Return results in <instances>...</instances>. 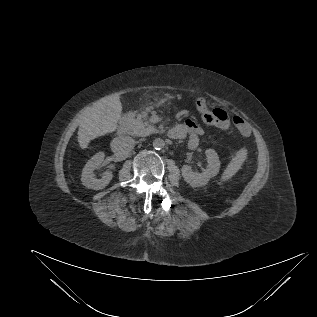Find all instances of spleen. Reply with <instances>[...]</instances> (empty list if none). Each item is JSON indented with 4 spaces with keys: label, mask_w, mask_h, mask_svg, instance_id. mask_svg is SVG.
<instances>
[{
    "label": "spleen",
    "mask_w": 317,
    "mask_h": 317,
    "mask_svg": "<svg viewBox=\"0 0 317 317\" xmlns=\"http://www.w3.org/2000/svg\"><path fill=\"white\" fill-rule=\"evenodd\" d=\"M246 155L247 152L245 149H243L239 151L234 158H232L221 176V181H226L237 173V171L241 168L243 162L245 161Z\"/></svg>",
    "instance_id": "3e777b00"
}]
</instances>
